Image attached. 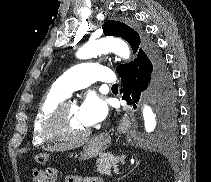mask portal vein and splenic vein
I'll return each mask as SVG.
<instances>
[{"instance_id": "18ae733b", "label": "portal vein and splenic vein", "mask_w": 211, "mask_h": 182, "mask_svg": "<svg viewBox=\"0 0 211 182\" xmlns=\"http://www.w3.org/2000/svg\"><path fill=\"white\" fill-rule=\"evenodd\" d=\"M119 172V169L118 168H115L114 169V173H118Z\"/></svg>"}]
</instances>
